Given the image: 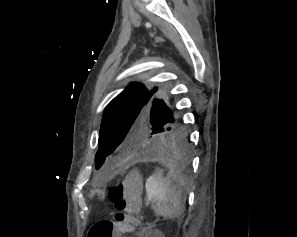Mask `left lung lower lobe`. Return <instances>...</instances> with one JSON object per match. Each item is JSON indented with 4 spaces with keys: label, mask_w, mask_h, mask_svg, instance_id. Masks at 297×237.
I'll list each match as a JSON object with an SVG mask.
<instances>
[{
    "label": "left lung lower lobe",
    "mask_w": 297,
    "mask_h": 237,
    "mask_svg": "<svg viewBox=\"0 0 297 237\" xmlns=\"http://www.w3.org/2000/svg\"><path fill=\"white\" fill-rule=\"evenodd\" d=\"M159 133L152 140L149 151L144 157H176L187 165L190 159V141L179 117L177 115L169 117L168 125Z\"/></svg>",
    "instance_id": "0a47b994"
}]
</instances>
